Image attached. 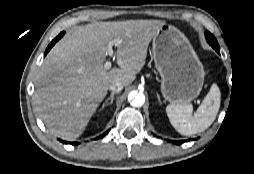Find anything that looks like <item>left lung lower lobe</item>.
I'll list each match as a JSON object with an SVG mask.
<instances>
[{"label": "left lung lower lobe", "instance_id": "0a47b994", "mask_svg": "<svg viewBox=\"0 0 254 174\" xmlns=\"http://www.w3.org/2000/svg\"><path fill=\"white\" fill-rule=\"evenodd\" d=\"M218 53H219V50H216ZM175 144H178L180 145L181 143L185 142V140H182V141H173Z\"/></svg>", "mask_w": 254, "mask_h": 174}]
</instances>
